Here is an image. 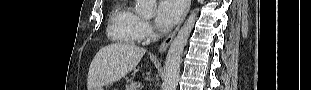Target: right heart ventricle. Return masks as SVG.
I'll use <instances>...</instances> for the list:
<instances>
[{"label": "right heart ventricle", "mask_w": 311, "mask_h": 90, "mask_svg": "<svg viewBox=\"0 0 311 90\" xmlns=\"http://www.w3.org/2000/svg\"><path fill=\"white\" fill-rule=\"evenodd\" d=\"M137 20L138 15L133 10L125 5H118L113 9L109 20L107 30L109 37L125 44L136 43L140 40Z\"/></svg>", "instance_id": "1"}]
</instances>
